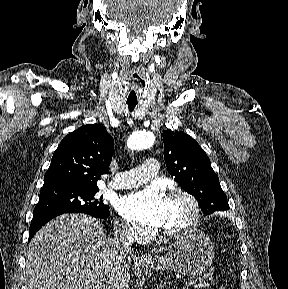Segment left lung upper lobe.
<instances>
[{"instance_id": "1", "label": "left lung upper lobe", "mask_w": 288, "mask_h": 289, "mask_svg": "<svg viewBox=\"0 0 288 289\" xmlns=\"http://www.w3.org/2000/svg\"><path fill=\"white\" fill-rule=\"evenodd\" d=\"M163 139L168 172L184 191L198 200L201 211L208 215L228 210L227 196L199 144L181 131L166 130Z\"/></svg>"}]
</instances>
